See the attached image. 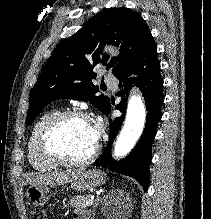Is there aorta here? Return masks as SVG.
<instances>
[{
	"instance_id": "obj_1",
	"label": "aorta",
	"mask_w": 211,
	"mask_h": 219,
	"mask_svg": "<svg viewBox=\"0 0 211 219\" xmlns=\"http://www.w3.org/2000/svg\"><path fill=\"white\" fill-rule=\"evenodd\" d=\"M146 120V109L139 96L133 95L127 107L124 126L114 147V156L127 155L141 136Z\"/></svg>"
}]
</instances>
